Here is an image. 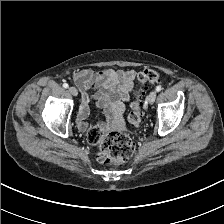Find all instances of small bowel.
Returning <instances> with one entry per match:
<instances>
[{"instance_id":"c3829d8e","label":"small bowel","mask_w":224,"mask_h":224,"mask_svg":"<svg viewBox=\"0 0 224 224\" xmlns=\"http://www.w3.org/2000/svg\"><path fill=\"white\" fill-rule=\"evenodd\" d=\"M135 77L134 70L84 69L75 73L73 80L81 91L82 99L77 116L78 127L86 128V119L90 115L89 104L92 99H95L109 114L126 103L130 98ZM91 89H94V93H91Z\"/></svg>"}]
</instances>
